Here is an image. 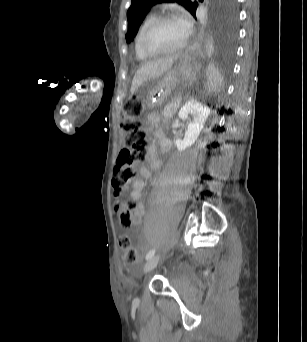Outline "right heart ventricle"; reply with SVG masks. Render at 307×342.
<instances>
[{"mask_svg":"<svg viewBox=\"0 0 307 342\" xmlns=\"http://www.w3.org/2000/svg\"><path fill=\"white\" fill-rule=\"evenodd\" d=\"M156 16V13L154 10H147L144 15L141 17L137 29H136V34H135V42H134V51H135V56L138 60L142 62L149 61L151 58L145 56L141 50H140V45H139V40L140 36L147 25V23L152 20Z\"/></svg>","mask_w":307,"mask_h":342,"instance_id":"right-heart-ventricle-1","label":"right heart ventricle"}]
</instances>
